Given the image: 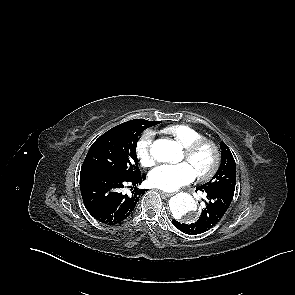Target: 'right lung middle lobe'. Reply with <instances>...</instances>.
<instances>
[{"instance_id": "1", "label": "right lung middle lobe", "mask_w": 295, "mask_h": 295, "mask_svg": "<svg viewBox=\"0 0 295 295\" xmlns=\"http://www.w3.org/2000/svg\"><path fill=\"white\" fill-rule=\"evenodd\" d=\"M161 121L134 119L101 135L90 147L82 164L80 176L95 174L131 176L140 173L137 165L138 136Z\"/></svg>"}]
</instances>
